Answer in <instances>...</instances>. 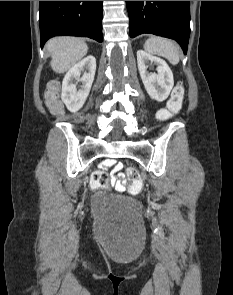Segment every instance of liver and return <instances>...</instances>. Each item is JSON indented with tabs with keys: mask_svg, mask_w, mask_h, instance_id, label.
<instances>
[{
	"mask_svg": "<svg viewBox=\"0 0 233 295\" xmlns=\"http://www.w3.org/2000/svg\"><path fill=\"white\" fill-rule=\"evenodd\" d=\"M51 53V68L56 73H64L79 62L88 51L87 44L80 38L56 37L46 44Z\"/></svg>",
	"mask_w": 233,
	"mask_h": 295,
	"instance_id": "1",
	"label": "liver"
}]
</instances>
